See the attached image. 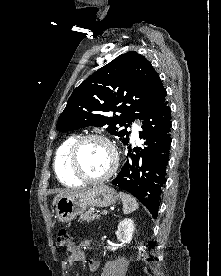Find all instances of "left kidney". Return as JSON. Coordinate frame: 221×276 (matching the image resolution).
<instances>
[{
  "label": "left kidney",
  "mask_w": 221,
  "mask_h": 276,
  "mask_svg": "<svg viewBox=\"0 0 221 276\" xmlns=\"http://www.w3.org/2000/svg\"><path fill=\"white\" fill-rule=\"evenodd\" d=\"M133 232L134 222L132 219L126 218L119 222L116 235L122 244H129L132 240ZM116 249L117 247L112 248L113 251Z\"/></svg>",
  "instance_id": "obj_1"
}]
</instances>
